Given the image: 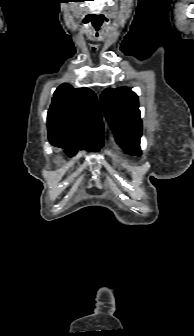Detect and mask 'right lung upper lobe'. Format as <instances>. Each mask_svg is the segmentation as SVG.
Here are the masks:
<instances>
[{
    "label": "right lung upper lobe",
    "instance_id": "cb5924a9",
    "mask_svg": "<svg viewBox=\"0 0 194 336\" xmlns=\"http://www.w3.org/2000/svg\"><path fill=\"white\" fill-rule=\"evenodd\" d=\"M50 142L56 138L80 141L103 140V124L96 95L88 88L60 85L47 117Z\"/></svg>",
    "mask_w": 194,
    "mask_h": 336
}]
</instances>
